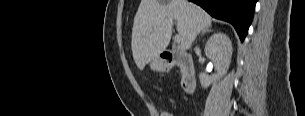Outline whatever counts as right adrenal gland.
Wrapping results in <instances>:
<instances>
[{
	"label": "right adrenal gland",
	"mask_w": 305,
	"mask_h": 116,
	"mask_svg": "<svg viewBox=\"0 0 305 116\" xmlns=\"http://www.w3.org/2000/svg\"><path fill=\"white\" fill-rule=\"evenodd\" d=\"M209 32H212V29L211 28H205L201 31V35H204L205 33H209Z\"/></svg>",
	"instance_id": "2a0ac1e0"
}]
</instances>
